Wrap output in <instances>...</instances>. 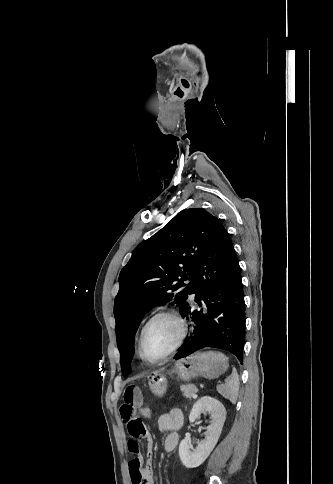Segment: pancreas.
Listing matches in <instances>:
<instances>
[{"instance_id":"1","label":"pancreas","mask_w":333,"mask_h":484,"mask_svg":"<svg viewBox=\"0 0 333 484\" xmlns=\"http://www.w3.org/2000/svg\"><path fill=\"white\" fill-rule=\"evenodd\" d=\"M180 389L183 393V396L187 399H191V397L196 393L197 390L196 386L193 384L181 385Z\"/></svg>"}]
</instances>
